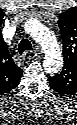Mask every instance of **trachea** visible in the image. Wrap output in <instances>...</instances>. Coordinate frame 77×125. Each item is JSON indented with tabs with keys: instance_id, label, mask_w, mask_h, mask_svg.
Segmentation results:
<instances>
[{
	"instance_id": "3493384b",
	"label": "trachea",
	"mask_w": 77,
	"mask_h": 125,
	"mask_svg": "<svg viewBox=\"0 0 77 125\" xmlns=\"http://www.w3.org/2000/svg\"><path fill=\"white\" fill-rule=\"evenodd\" d=\"M26 50H32V45L28 39H22L19 44V52L22 53Z\"/></svg>"
}]
</instances>
